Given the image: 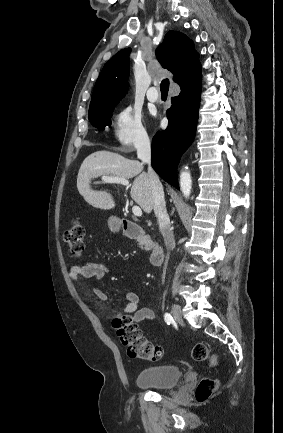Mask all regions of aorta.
Wrapping results in <instances>:
<instances>
[{"mask_svg": "<svg viewBox=\"0 0 283 433\" xmlns=\"http://www.w3.org/2000/svg\"><path fill=\"white\" fill-rule=\"evenodd\" d=\"M191 188H192L191 174L188 171V168H186L180 174V189L183 195L185 197H188L191 193Z\"/></svg>", "mask_w": 283, "mask_h": 433, "instance_id": "762f6f07", "label": "aorta"}]
</instances>
